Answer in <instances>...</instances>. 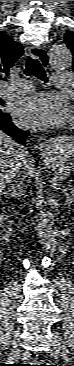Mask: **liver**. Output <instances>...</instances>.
<instances>
[{
    "instance_id": "1",
    "label": "liver",
    "mask_w": 74,
    "mask_h": 366,
    "mask_svg": "<svg viewBox=\"0 0 74 366\" xmlns=\"http://www.w3.org/2000/svg\"><path fill=\"white\" fill-rule=\"evenodd\" d=\"M26 149L17 143L7 134L0 132V187L3 188L5 183H9L11 179L18 175L20 169L23 168L27 176L31 178L35 169L33 162L28 158ZM23 155V160L21 159Z\"/></svg>"
}]
</instances>
